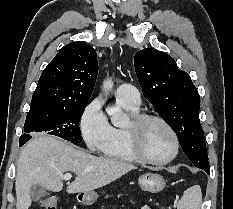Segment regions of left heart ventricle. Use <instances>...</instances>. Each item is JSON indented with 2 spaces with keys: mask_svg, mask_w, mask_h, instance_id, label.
<instances>
[{
  "mask_svg": "<svg viewBox=\"0 0 233 209\" xmlns=\"http://www.w3.org/2000/svg\"><path fill=\"white\" fill-rule=\"evenodd\" d=\"M142 148L155 160L168 158L173 152V140L166 128L158 122H148L142 132Z\"/></svg>",
  "mask_w": 233,
  "mask_h": 209,
  "instance_id": "1",
  "label": "left heart ventricle"
}]
</instances>
